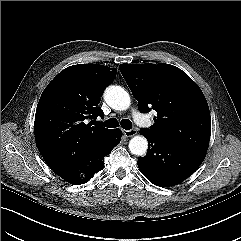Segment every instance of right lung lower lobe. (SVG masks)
Listing matches in <instances>:
<instances>
[{
  "label": "right lung lower lobe",
  "mask_w": 241,
  "mask_h": 241,
  "mask_svg": "<svg viewBox=\"0 0 241 241\" xmlns=\"http://www.w3.org/2000/svg\"><path fill=\"white\" fill-rule=\"evenodd\" d=\"M121 131L114 129L109 137L86 153L64 162L50 165V168L69 183L80 185L88 182L96 172L103 169L104 157L120 143Z\"/></svg>",
  "instance_id": "obj_1"
}]
</instances>
